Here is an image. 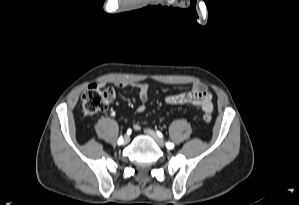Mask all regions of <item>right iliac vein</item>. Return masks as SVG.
Here are the masks:
<instances>
[{
	"instance_id": "right-iliac-vein-1",
	"label": "right iliac vein",
	"mask_w": 299,
	"mask_h": 205,
	"mask_svg": "<svg viewBox=\"0 0 299 205\" xmlns=\"http://www.w3.org/2000/svg\"><path fill=\"white\" fill-rule=\"evenodd\" d=\"M130 141V137L128 135H125L123 138V144H127Z\"/></svg>"
}]
</instances>
